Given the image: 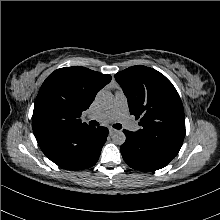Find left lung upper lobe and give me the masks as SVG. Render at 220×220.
<instances>
[{"instance_id": "5c2ea615", "label": "left lung upper lobe", "mask_w": 220, "mask_h": 220, "mask_svg": "<svg viewBox=\"0 0 220 220\" xmlns=\"http://www.w3.org/2000/svg\"><path fill=\"white\" fill-rule=\"evenodd\" d=\"M128 99L130 114L142 126L138 137L177 155L185 136L184 109L173 84L160 72L142 65L115 74Z\"/></svg>"}]
</instances>
